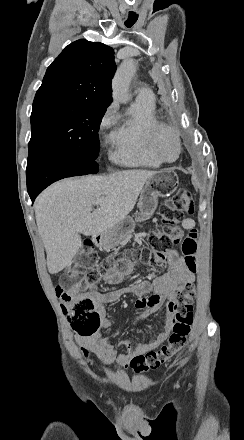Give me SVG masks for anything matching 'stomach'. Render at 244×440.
I'll list each match as a JSON object with an SVG mask.
<instances>
[{"label": "stomach", "mask_w": 244, "mask_h": 440, "mask_svg": "<svg viewBox=\"0 0 244 440\" xmlns=\"http://www.w3.org/2000/svg\"><path fill=\"white\" fill-rule=\"evenodd\" d=\"M178 186V176L173 170H161V172H157L152 178H149L140 194L138 222H144V220H148L150 216H153L158 206V198L160 196L167 198L177 190ZM134 230L135 224L132 218H126V220L116 224L114 228L95 236L94 242L98 248H114L125 236L132 234Z\"/></svg>", "instance_id": "1"}]
</instances>
